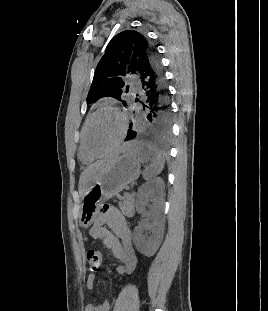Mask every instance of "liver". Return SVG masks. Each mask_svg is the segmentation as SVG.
<instances>
[{"mask_svg":"<svg viewBox=\"0 0 268 311\" xmlns=\"http://www.w3.org/2000/svg\"><path fill=\"white\" fill-rule=\"evenodd\" d=\"M113 160L114 158L100 160L89 166L80 176V187L84 190L88 183L94 181L101 173H103Z\"/></svg>","mask_w":268,"mask_h":311,"instance_id":"obj_1","label":"liver"}]
</instances>
